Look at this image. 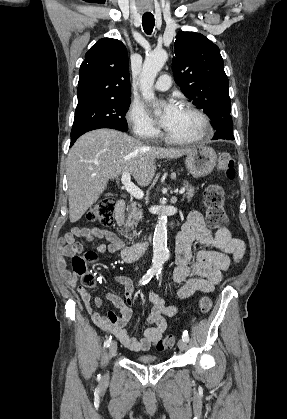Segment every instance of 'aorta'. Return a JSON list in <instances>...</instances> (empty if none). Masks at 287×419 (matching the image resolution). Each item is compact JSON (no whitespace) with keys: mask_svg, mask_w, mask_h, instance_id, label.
Segmentation results:
<instances>
[{"mask_svg":"<svg viewBox=\"0 0 287 419\" xmlns=\"http://www.w3.org/2000/svg\"><path fill=\"white\" fill-rule=\"evenodd\" d=\"M167 58L168 55L165 50L157 49L152 51L144 60L140 74V91L146 101L155 100L153 85L158 72L164 66ZM169 257L170 254L167 248V216L165 213H161L158 217L153 236L151 270L160 271Z\"/></svg>","mask_w":287,"mask_h":419,"instance_id":"1","label":"aorta"}]
</instances>
